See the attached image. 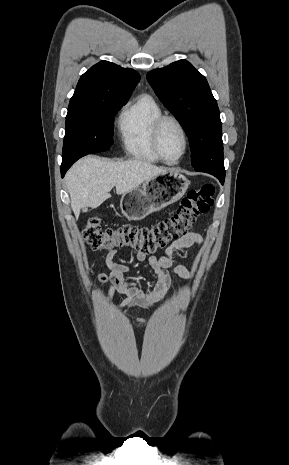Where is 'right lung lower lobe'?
Wrapping results in <instances>:
<instances>
[{"label":"right lung lower lobe","mask_w":289,"mask_h":465,"mask_svg":"<svg viewBox=\"0 0 289 465\" xmlns=\"http://www.w3.org/2000/svg\"><path fill=\"white\" fill-rule=\"evenodd\" d=\"M78 159H73V160H70V161H62V165H61V176L64 177L65 173L67 172V170L72 166V164L77 161Z\"/></svg>","instance_id":"obj_1"}]
</instances>
